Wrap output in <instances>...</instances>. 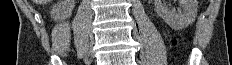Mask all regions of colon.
Returning <instances> with one entry per match:
<instances>
[{"mask_svg":"<svg viewBox=\"0 0 232 65\" xmlns=\"http://www.w3.org/2000/svg\"><path fill=\"white\" fill-rule=\"evenodd\" d=\"M177 42H178V40L176 38L171 39L172 44H176Z\"/></svg>","mask_w":232,"mask_h":65,"instance_id":"obj_1","label":"colon"}]
</instances>
